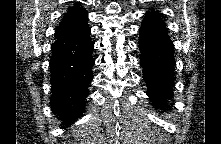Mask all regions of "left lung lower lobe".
I'll return each instance as SVG.
<instances>
[{"instance_id":"0a47b994","label":"left lung lower lobe","mask_w":221,"mask_h":144,"mask_svg":"<svg viewBox=\"0 0 221 144\" xmlns=\"http://www.w3.org/2000/svg\"><path fill=\"white\" fill-rule=\"evenodd\" d=\"M139 32L140 64L147 94L152 105L163 109L168 106V100L173 98L174 45L164 21L155 12L145 14Z\"/></svg>"}]
</instances>
